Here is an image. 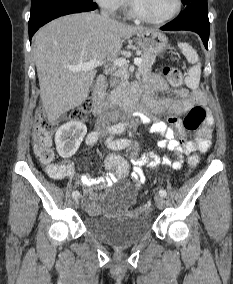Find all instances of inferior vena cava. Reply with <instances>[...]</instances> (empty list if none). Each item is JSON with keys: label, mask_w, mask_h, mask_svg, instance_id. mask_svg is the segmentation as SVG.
Here are the masks:
<instances>
[{"label": "inferior vena cava", "mask_w": 233, "mask_h": 284, "mask_svg": "<svg viewBox=\"0 0 233 284\" xmlns=\"http://www.w3.org/2000/svg\"><path fill=\"white\" fill-rule=\"evenodd\" d=\"M101 16H103L106 19L113 20V19L110 18L109 14L106 10L101 11ZM109 125H110V123H109L107 112L103 111L96 121V128L98 130L104 131L109 127Z\"/></svg>", "instance_id": "inferior-vena-cava-1"}]
</instances>
